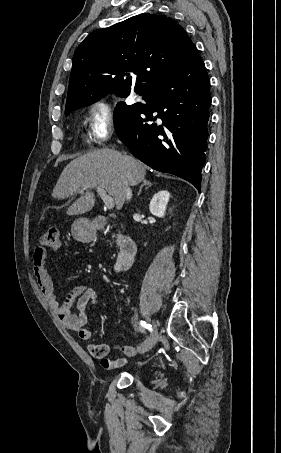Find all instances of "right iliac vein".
<instances>
[{
  "label": "right iliac vein",
  "mask_w": 281,
  "mask_h": 453,
  "mask_svg": "<svg viewBox=\"0 0 281 453\" xmlns=\"http://www.w3.org/2000/svg\"><path fill=\"white\" fill-rule=\"evenodd\" d=\"M153 333L150 335L152 338L151 339H146V341L143 342V345H140L138 347V351L140 353H145L147 350H151L155 346V339L157 338V335L155 334L157 331L154 329L152 331Z\"/></svg>",
  "instance_id": "1"
}]
</instances>
